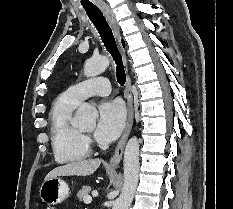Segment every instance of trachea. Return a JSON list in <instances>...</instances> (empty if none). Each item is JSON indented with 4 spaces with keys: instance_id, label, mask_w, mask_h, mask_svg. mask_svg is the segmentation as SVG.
<instances>
[{
    "instance_id": "obj_1",
    "label": "trachea",
    "mask_w": 233,
    "mask_h": 209,
    "mask_svg": "<svg viewBox=\"0 0 233 209\" xmlns=\"http://www.w3.org/2000/svg\"><path fill=\"white\" fill-rule=\"evenodd\" d=\"M84 9L96 27L98 33L100 34L104 46L115 61L117 81L121 86H123L126 81V74L122 62V57L115 42L111 27L98 7L84 6Z\"/></svg>"
}]
</instances>
